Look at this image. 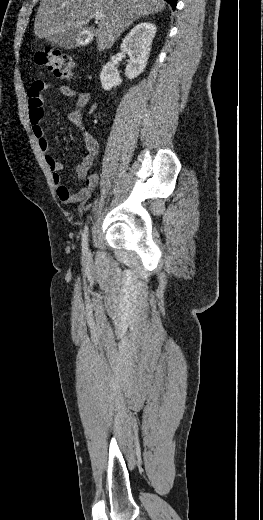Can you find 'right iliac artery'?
<instances>
[{"label": "right iliac artery", "mask_w": 263, "mask_h": 520, "mask_svg": "<svg viewBox=\"0 0 263 520\" xmlns=\"http://www.w3.org/2000/svg\"><path fill=\"white\" fill-rule=\"evenodd\" d=\"M88 250V227L85 226L82 234V251L85 254Z\"/></svg>", "instance_id": "82829eb1"}]
</instances>
